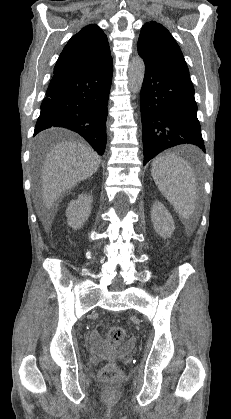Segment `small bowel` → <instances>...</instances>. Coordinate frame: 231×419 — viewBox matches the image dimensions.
<instances>
[{
	"instance_id": "small-bowel-1",
	"label": "small bowel",
	"mask_w": 231,
	"mask_h": 419,
	"mask_svg": "<svg viewBox=\"0 0 231 419\" xmlns=\"http://www.w3.org/2000/svg\"><path fill=\"white\" fill-rule=\"evenodd\" d=\"M91 337H92V341L94 342V344L97 348L99 346V335H98V333L95 332V331L92 332Z\"/></svg>"
}]
</instances>
